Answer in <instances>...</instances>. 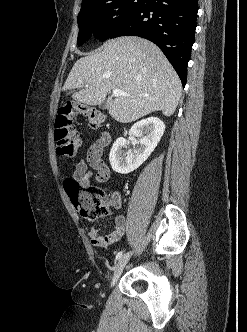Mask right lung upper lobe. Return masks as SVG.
Wrapping results in <instances>:
<instances>
[{
  "label": "right lung upper lobe",
  "mask_w": 247,
  "mask_h": 332,
  "mask_svg": "<svg viewBox=\"0 0 247 332\" xmlns=\"http://www.w3.org/2000/svg\"><path fill=\"white\" fill-rule=\"evenodd\" d=\"M101 0H82L81 10L85 9Z\"/></svg>",
  "instance_id": "1"
}]
</instances>
